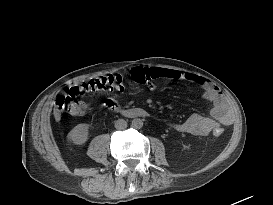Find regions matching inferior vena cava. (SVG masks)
<instances>
[{"instance_id": "602c4592", "label": "inferior vena cava", "mask_w": 273, "mask_h": 205, "mask_svg": "<svg viewBox=\"0 0 273 205\" xmlns=\"http://www.w3.org/2000/svg\"><path fill=\"white\" fill-rule=\"evenodd\" d=\"M127 127V122L124 119H118L115 121L116 129H125Z\"/></svg>"}]
</instances>
